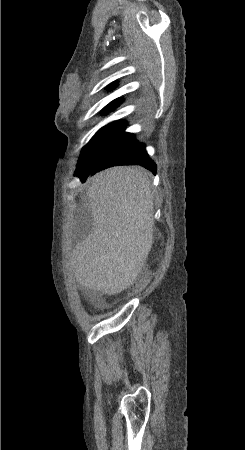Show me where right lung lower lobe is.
Here are the masks:
<instances>
[{"label": "right lung lower lobe", "mask_w": 245, "mask_h": 450, "mask_svg": "<svg viewBox=\"0 0 245 450\" xmlns=\"http://www.w3.org/2000/svg\"><path fill=\"white\" fill-rule=\"evenodd\" d=\"M133 164L143 166L150 170L153 174H156V164L149 158L146 150L141 146V144L135 141L134 137L127 145L115 152L106 153L95 166L83 172L76 173V176L84 182L89 174L93 175L105 168L115 165Z\"/></svg>", "instance_id": "98d812e1"}]
</instances>
